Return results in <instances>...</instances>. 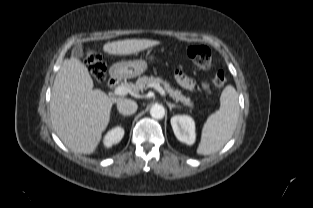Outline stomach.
I'll return each instance as SVG.
<instances>
[{
  "instance_id": "0dacf381",
  "label": "stomach",
  "mask_w": 313,
  "mask_h": 208,
  "mask_svg": "<svg viewBox=\"0 0 313 208\" xmlns=\"http://www.w3.org/2000/svg\"><path fill=\"white\" fill-rule=\"evenodd\" d=\"M154 60V57H151ZM148 68L145 60L122 61L112 66V73L117 77L133 78L143 74Z\"/></svg>"
}]
</instances>
